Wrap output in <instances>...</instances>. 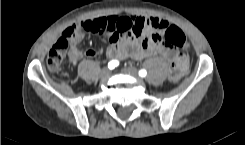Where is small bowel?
<instances>
[{"label": "small bowel", "instance_id": "c3829d8e", "mask_svg": "<svg viewBox=\"0 0 245 145\" xmlns=\"http://www.w3.org/2000/svg\"><path fill=\"white\" fill-rule=\"evenodd\" d=\"M87 22L91 24L89 30H80L68 38V62L70 65H75L85 56L94 57L101 53V50L92 48L81 50L78 47L84 32L90 31L109 40L106 53L112 60L119 61L127 58L142 60L161 55L176 66L175 74H170V80L173 82H177L188 69L189 54L187 51H174L166 45H156L152 40L146 38L147 31L161 35L164 33L166 28L170 26L169 22L164 19L138 15L128 17L101 16L81 21L71 27H82ZM119 32L123 33L122 38H119Z\"/></svg>", "mask_w": 245, "mask_h": 145}]
</instances>
